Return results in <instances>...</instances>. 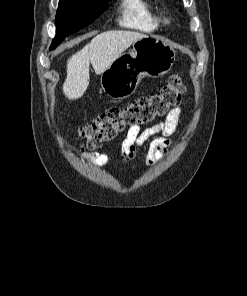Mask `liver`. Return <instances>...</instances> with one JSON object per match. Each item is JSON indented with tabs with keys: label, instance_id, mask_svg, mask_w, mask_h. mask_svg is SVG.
<instances>
[{
	"label": "liver",
	"instance_id": "obj_1",
	"mask_svg": "<svg viewBox=\"0 0 247 296\" xmlns=\"http://www.w3.org/2000/svg\"><path fill=\"white\" fill-rule=\"evenodd\" d=\"M147 35L134 31L114 30L95 36L90 43L67 61V77L62 90L69 100L81 98L89 83L90 63L97 75L102 74L134 42Z\"/></svg>",
	"mask_w": 247,
	"mask_h": 296
}]
</instances>
